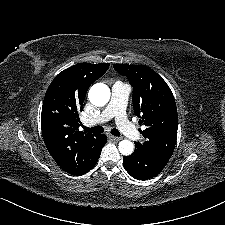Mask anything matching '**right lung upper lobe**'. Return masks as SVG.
I'll list each match as a JSON object with an SVG mask.
<instances>
[{
    "label": "right lung upper lobe",
    "mask_w": 225,
    "mask_h": 225,
    "mask_svg": "<svg viewBox=\"0 0 225 225\" xmlns=\"http://www.w3.org/2000/svg\"><path fill=\"white\" fill-rule=\"evenodd\" d=\"M109 64L79 63L60 72L49 85L42 106V135L55 162L71 175L88 172L103 147L101 135L79 131V112L89 86Z\"/></svg>",
    "instance_id": "cb5924a9"
}]
</instances>
